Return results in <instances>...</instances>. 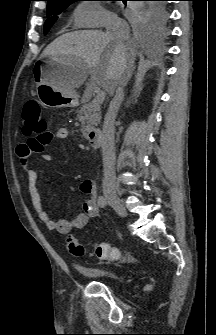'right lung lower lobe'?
Masks as SVG:
<instances>
[{
  "label": "right lung lower lobe",
  "mask_w": 216,
  "mask_h": 335,
  "mask_svg": "<svg viewBox=\"0 0 216 335\" xmlns=\"http://www.w3.org/2000/svg\"><path fill=\"white\" fill-rule=\"evenodd\" d=\"M123 3L126 4V0H123ZM151 3V2H150Z\"/></svg>",
  "instance_id": "right-lung-lower-lobe-1"
}]
</instances>
